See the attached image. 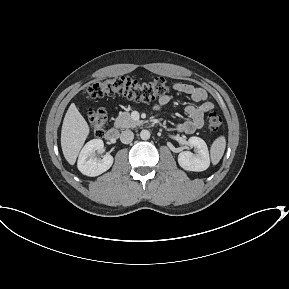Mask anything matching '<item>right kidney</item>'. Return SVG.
<instances>
[{"label":"right kidney","instance_id":"ca27d5eb","mask_svg":"<svg viewBox=\"0 0 289 289\" xmlns=\"http://www.w3.org/2000/svg\"><path fill=\"white\" fill-rule=\"evenodd\" d=\"M101 139H93L86 143L79 154L77 167L86 176H98L106 172L113 164V157L110 154L104 155L102 159L95 157L96 151L103 148Z\"/></svg>","mask_w":289,"mask_h":289}]
</instances>
